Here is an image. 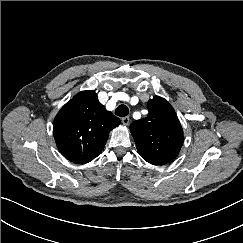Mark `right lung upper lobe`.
<instances>
[{
    "label": "right lung upper lobe",
    "mask_w": 243,
    "mask_h": 243,
    "mask_svg": "<svg viewBox=\"0 0 243 243\" xmlns=\"http://www.w3.org/2000/svg\"><path fill=\"white\" fill-rule=\"evenodd\" d=\"M120 124L107 111L94 91L75 95L54 119L53 135L60 153L68 160L85 164L101 154L109 132Z\"/></svg>",
    "instance_id": "cb5924a9"
}]
</instances>
